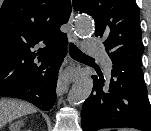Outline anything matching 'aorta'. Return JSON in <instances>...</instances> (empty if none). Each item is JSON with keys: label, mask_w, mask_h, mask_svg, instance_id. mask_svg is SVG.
Listing matches in <instances>:
<instances>
[{"label": "aorta", "mask_w": 151, "mask_h": 131, "mask_svg": "<svg viewBox=\"0 0 151 131\" xmlns=\"http://www.w3.org/2000/svg\"><path fill=\"white\" fill-rule=\"evenodd\" d=\"M74 28L78 35L88 36L93 32L94 25L89 16L81 15L76 18ZM92 88L93 80L89 77L82 78L72 86L67 98L68 103L75 106L84 102L90 96Z\"/></svg>", "instance_id": "762f6f07"}]
</instances>
